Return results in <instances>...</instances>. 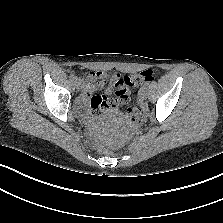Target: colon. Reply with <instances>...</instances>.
<instances>
[{
    "label": "colon",
    "mask_w": 223,
    "mask_h": 223,
    "mask_svg": "<svg viewBox=\"0 0 223 223\" xmlns=\"http://www.w3.org/2000/svg\"><path fill=\"white\" fill-rule=\"evenodd\" d=\"M154 79V72L151 69L144 70L138 74L130 76H109L106 81L112 83L115 88V95L123 104H127L129 100V90L142 83L151 82ZM128 117L134 124H139L145 117L144 110L135 106L128 109Z\"/></svg>",
    "instance_id": "5ec220e1"
}]
</instances>
